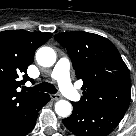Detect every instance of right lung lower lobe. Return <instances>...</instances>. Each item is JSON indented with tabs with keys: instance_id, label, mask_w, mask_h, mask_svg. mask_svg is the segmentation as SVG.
<instances>
[{
	"instance_id": "1",
	"label": "right lung lower lobe",
	"mask_w": 136,
	"mask_h": 136,
	"mask_svg": "<svg viewBox=\"0 0 136 136\" xmlns=\"http://www.w3.org/2000/svg\"><path fill=\"white\" fill-rule=\"evenodd\" d=\"M50 100L48 94L40 95L30 106L25 117L18 123L0 131V136H24L29 133L36 121L37 113Z\"/></svg>"
}]
</instances>
